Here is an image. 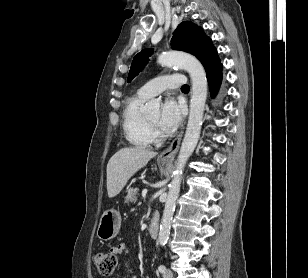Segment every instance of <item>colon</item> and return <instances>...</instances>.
I'll list each match as a JSON object with an SVG mask.
<instances>
[{"label": "colon", "mask_w": 308, "mask_h": 278, "mask_svg": "<svg viewBox=\"0 0 308 278\" xmlns=\"http://www.w3.org/2000/svg\"><path fill=\"white\" fill-rule=\"evenodd\" d=\"M94 264L102 275H111L116 267L117 258L111 251H100L94 256Z\"/></svg>", "instance_id": "5ec220e1"}]
</instances>
